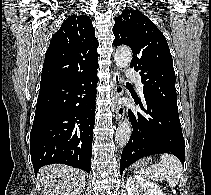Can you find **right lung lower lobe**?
Listing matches in <instances>:
<instances>
[{
	"label": "right lung lower lobe",
	"instance_id": "obj_1",
	"mask_svg": "<svg viewBox=\"0 0 211 195\" xmlns=\"http://www.w3.org/2000/svg\"><path fill=\"white\" fill-rule=\"evenodd\" d=\"M97 82L95 69L40 88L30 133L35 175L54 163L90 173Z\"/></svg>",
	"mask_w": 211,
	"mask_h": 195
}]
</instances>
